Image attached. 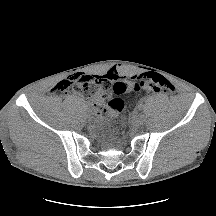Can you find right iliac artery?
Wrapping results in <instances>:
<instances>
[{
    "instance_id": "right-iliac-artery-1",
    "label": "right iliac artery",
    "mask_w": 216,
    "mask_h": 216,
    "mask_svg": "<svg viewBox=\"0 0 216 216\" xmlns=\"http://www.w3.org/2000/svg\"><path fill=\"white\" fill-rule=\"evenodd\" d=\"M85 113H86V114H89V113H90V110H89V109H86V110H85Z\"/></svg>"
}]
</instances>
